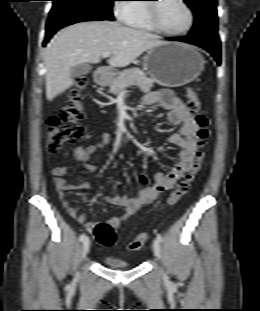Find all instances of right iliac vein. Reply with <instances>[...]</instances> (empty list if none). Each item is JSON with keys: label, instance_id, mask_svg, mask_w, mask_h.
Wrapping results in <instances>:
<instances>
[{"label": "right iliac vein", "instance_id": "right-iliac-vein-1", "mask_svg": "<svg viewBox=\"0 0 260 311\" xmlns=\"http://www.w3.org/2000/svg\"><path fill=\"white\" fill-rule=\"evenodd\" d=\"M90 249V239L87 237L83 243H82V247H81V257L85 258L86 255L88 254Z\"/></svg>", "mask_w": 260, "mask_h": 311}]
</instances>
